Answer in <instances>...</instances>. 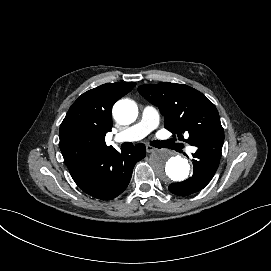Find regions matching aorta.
I'll return each instance as SVG.
<instances>
[{
    "label": "aorta",
    "mask_w": 271,
    "mask_h": 271,
    "mask_svg": "<svg viewBox=\"0 0 271 271\" xmlns=\"http://www.w3.org/2000/svg\"><path fill=\"white\" fill-rule=\"evenodd\" d=\"M113 116L120 124H131L138 116V107L131 100H119L113 107ZM150 164L162 180L183 181L190 174L188 159L167 149L152 153Z\"/></svg>",
    "instance_id": "obj_1"
}]
</instances>
